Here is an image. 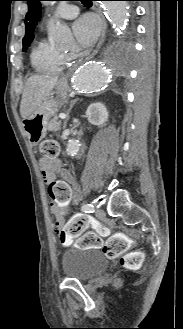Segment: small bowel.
I'll use <instances>...</instances> for the list:
<instances>
[{"instance_id": "1", "label": "small bowel", "mask_w": 183, "mask_h": 329, "mask_svg": "<svg viewBox=\"0 0 183 329\" xmlns=\"http://www.w3.org/2000/svg\"><path fill=\"white\" fill-rule=\"evenodd\" d=\"M40 168L46 184V192L52 199L51 210L56 215V233L60 236L63 221L61 218H70V211L75 208L80 199V188L74 174L63 167L59 160H40ZM56 176L60 178H55ZM61 239V236H60ZM63 245H69L72 240L61 239Z\"/></svg>"}]
</instances>
